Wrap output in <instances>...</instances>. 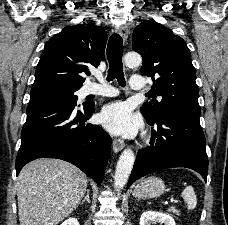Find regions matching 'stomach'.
Masks as SVG:
<instances>
[{
	"mask_svg": "<svg viewBox=\"0 0 228 225\" xmlns=\"http://www.w3.org/2000/svg\"><path fill=\"white\" fill-rule=\"evenodd\" d=\"M166 191V185L162 179L158 177H148V179H143L139 181L134 189V197L137 199H157L161 197Z\"/></svg>",
	"mask_w": 228,
	"mask_h": 225,
	"instance_id": "stomach-1",
	"label": "stomach"
}]
</instances>
